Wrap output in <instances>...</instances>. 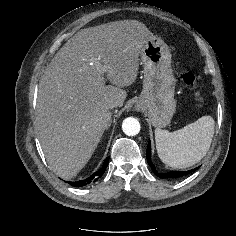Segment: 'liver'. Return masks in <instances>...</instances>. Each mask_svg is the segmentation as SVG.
Instances as JSON below:
<instances>
[{
  "label": "liver",
  "instance_id": "obj_1",
  "mask_svg": "<svg viewBox=\"0 0 236 236\" xmlns=\"http://www.w3.org/2000/svg\"><path fill=\"white\" fill-rule=\"evenodd\" d=\"M154 38L139 21H116L79 31L55 54L39 83L37 131L59 177L70 179L87 164L110 125L108 104L123 105L120 87L135 82L141 50Z\"/></svg>",
  "mask_w": 236,
  "mask_h": 236
}]
</instances>
